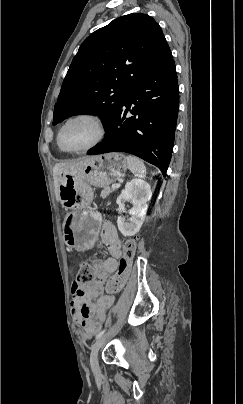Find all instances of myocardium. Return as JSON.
<instances>
[{
  "mask_svg": "<svg viewBox=\"0 0 243 404\" xmlns=\"http://www.w3.org/2000/svg\"><path fill=\"white\" fill-rule=\"evenodd\" d=\"M77 118H89V119L93 120L96 123L97 128H98L97 138L90 145H88L84 148H81V149L65 148L61 144L62 131L70 121L77 119ZM105 135H106V127H105L103 119L98 114H96L94 112H90V111H80V112H77V113H74V114L68 116L61 123V125L57 131V142H58L59 147L68 153H86V152H89V151L95 149L96 147H98L103 142Z\"/></svg>",
  "mask_w": 243,
  "mask_h": 404,
  "instance_id": "1",
  "label": "myocardium"
}]
</instances>
